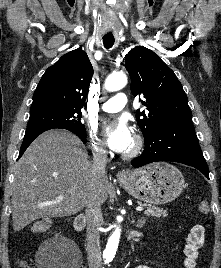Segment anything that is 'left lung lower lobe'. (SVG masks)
I'll use <instances>...</instances> for the list:
<instances>
[{"label": "left lung lower lobe", "mask_w": 221, "mask_h": 268, "mask_svg": "<svg viewBox=\"0 0 221 268\" xmlns=\"http://www.w3.org/2000/svg\"><path fill=\"white\" fill-rule=\"evenodd\" d=\"M157 161H172L193 166L209 179L208 166L192 123L161 125L145 140L143 153L133 159L131 164L138 168Z\"/></svg>", "instance_id": "0a47b994"}]
</instances>
